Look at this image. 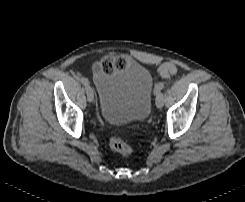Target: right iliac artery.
I'll return each instance as SVG.
<instances>
[{
  "mask_svg": "<svg viewBox=\"0 0 245 202\" xmlns=\"http://www.w3.org/2000/svg\"><path fill=\"white\" fill-rule=\"evenodd\" d=\"M81 82H82V84H84L85 86H88V85H89V81H88V79H86V78H81Z\"/></svg>",
  "mask_w": 245,
  "mask_h": 202,
  "instance_id": "obj_1",
  "label": "right iliac artery"
}]
</instances>
